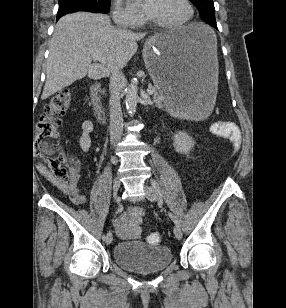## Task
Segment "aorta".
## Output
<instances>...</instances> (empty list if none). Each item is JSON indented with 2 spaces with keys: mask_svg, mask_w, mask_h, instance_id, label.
Returning a JSON list of instances; mask_svg holds the SVG:
<instances>
[{
  "mask_svg": "<svg viewBox=\"0 0 286 308\" xmlns=\"http://www.w3.org/2000/svg\"><path fill=\"white\" fill-rule=\"evenodd\" d=\"M138 100L137 82H132L125 90L126 109L129 114H133L136 111Z\"/></svg>",
  "mask_w": 286,
  "mask_h": 308,
  "instance_id": "aorta-1",
  "label": "aorta"
}]
</instances>
